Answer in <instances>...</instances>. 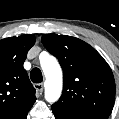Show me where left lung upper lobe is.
Masks as SVG:
<instances>
[{"label":"left lung upper lobe","mask_w":119,"mask_h":119,"mask_svg":"<svg viewBox=\"0 0 119 119\" xmlns=\"http://www.w3.org/2000/svg\"><path fill=\"white\" fill-rule=\"evenodd\" d=\"M42 43L59 60L64 73L63 93L52 107L109 117L115 102V81L103 57L71 36L44 34Z\"/></svg>","instance_id":"left-lung-upper-lobe-1"}]
</instances>
